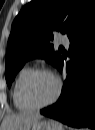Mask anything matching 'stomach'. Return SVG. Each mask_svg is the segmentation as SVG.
<instances>
[{
  "label": "stomach",
  "mask_w": 95,
  "mask_h": 130,
  "mask_svg": "<svg viewBox=\"0 0 95 130\" xmlns=\"http://www.w3.org/2000/svg\"><path fill=\"white\" fill-rule=\"evenodd\" d=\"M31 130H64L63 126L55 120H39L33 124Z\"/></svg>",
  "instance_id": "0dacf381"
}]
</instances>
